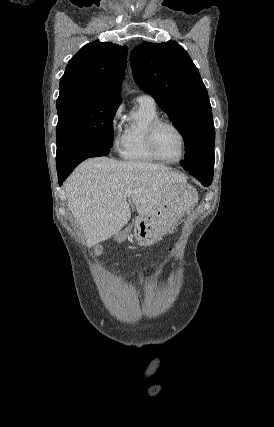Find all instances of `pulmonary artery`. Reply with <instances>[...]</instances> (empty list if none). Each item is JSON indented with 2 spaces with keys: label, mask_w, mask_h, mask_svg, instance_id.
<instances>
[{
  "label": "pulmonary artery",
  "mask_w": 274,
  "mask_h": 427,
  "mask_svg": "<svg viewBox=\"0 0 274 427\" xmlns=\"http://www.w3.org/2000/svg\"><path fill=\"white\" fill-rule=\"evenodd\" d=\"M138 102H139V105H142V106H147L152 108L156 107L155 100L150 95H147V94L140 95L138 97Z\"/></svg>",
  "instance_id": "1"
}]
</instances>
